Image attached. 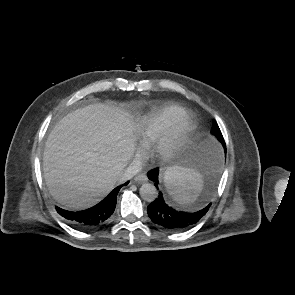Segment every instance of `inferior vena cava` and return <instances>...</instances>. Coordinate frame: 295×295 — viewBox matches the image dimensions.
I'll return each instance as SVG.
<instances>
[{
	"instance_id": "1",
	"label": "inferior vena cava",
	"mask_w": 295,
	"mask_h": 295,
	"mask_svg": "<svg viewBox=\"0 0 295 295\" xmlns=\"http://www.w3.org/2000/svg\"><path fill=\"white\" fill-rule=\"evenodd\" d=\"M142 170V165L139 161H132L121 176V180H129Z\"/></svg>"
}]
</instances>
